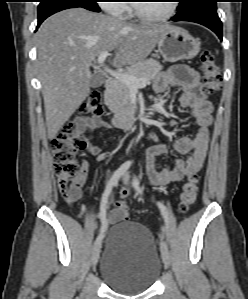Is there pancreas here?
I'll list each match as a JSON object with an SVG mask.
<instances>
[{
	"label": "pancreas",
	"instance_id": "1",
	"mask_svg": "<svg viewBox=\"0 0 248 299\" xmlns=\"http://www.w3.org/2000/svg\"><path fill=\"white\" fill-rule=\"evenodd\" d=\"M162 65L155 59L142 60L123 73L135 76L138 79L146 78L148 81L162 70ZM105 103L108 108L120 117H132L134 106L131 101V88L119 80H114L105 94Z\"/></svg>",
	"mask_w": 248,
	"mask_h": 299
}]
</instances>
